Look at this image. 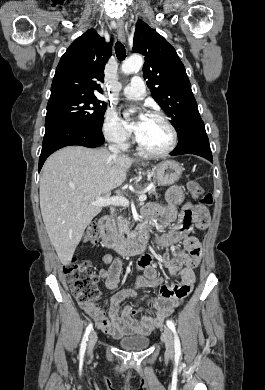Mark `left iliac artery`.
Here are the masks:
<instances>
[{"mask_svg":"<svg viewBox=\"0 0 265 390\" xmlns=\"http://www.w3.org/2000/svg\"><path fill=\"white\" fill-rule=\"evenodd\" d=\"M167 326L171 331L174 333V348H175V353L177 355H181V345H180V340L178 338V335L176 333L175 325L171 320L166 321Z\"/></svg>","mask_w":265,"mask_h":390,"instance_id":"44dca946","label":"left iliac artery"}]
</instances>
